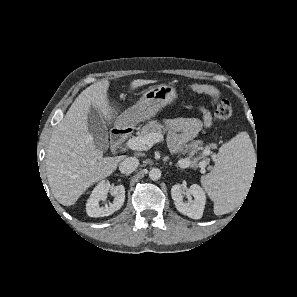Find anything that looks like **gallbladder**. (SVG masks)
Listing matches in <instances>:
<instances>
[{
  "mask_svg": "<svg viewBox=\"0 0 297 297\" xmlns=\"http://www.w3.org/2000/svg\"><path fill=\"white\" fill-rule=\"evenodd\" d=\"M88 131L93 137L94 144L102 151L108 148L107 126L99 111L91 106L88 112Z\"/></svg>",
  "mask_w": 297,
  "mask_h": 297,
  "instance_id": "gallbladder-1",
  "label": "gallbladder"
}]
</instances>
